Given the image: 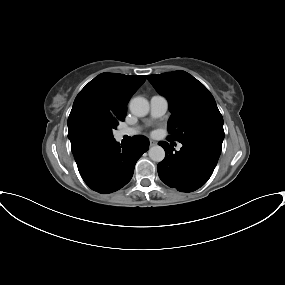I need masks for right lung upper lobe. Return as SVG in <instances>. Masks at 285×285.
<instances>
[{
    "instance_id": "right-lung-upper-lobe-1",
    "label": "right lung upper lobe",
    "mask_w": 285,
    "mask_h": 285,
    "mask_svg": "<svg viewBox=\"0 0 285 285\" xmlns=\"http://www.w3.org/2000/svg\"><path fill=\"white\" fill-rule=\"evenodd\" d=\"M145 80L146 76L102 73L90 81L77 95L68 118L71 149L86 144L82 137L86 120L124 121L128 101Z\"/></svg>"
}]
</instances>
